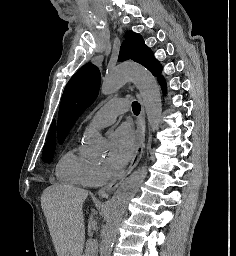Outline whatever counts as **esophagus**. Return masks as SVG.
<instances>
[{
    "label": "esophagus",
    "mask_w": 236,
    "mask_h": 256,
    "mask_svg": "<svg viewBox=\"0 0 236 256\" xmlns=\"http://www.w3.org/2000/svg\"><path fill=\"white\" fill-rule=\"evenodd\" d=\"M136 96L141 104V111L136 120V148L132 161L128 169L123 174H120V176L110 181L98 191V196L100 198H108L112 193H114L121 182L138 165L139 161L141 160L143 148L145 146V108L140 95L136 93Z\"/></svg>",
    "instance_id": "obj_1"
}]
</instances>
